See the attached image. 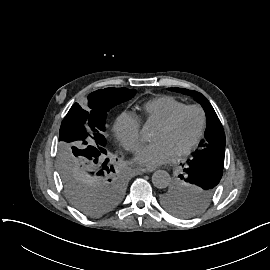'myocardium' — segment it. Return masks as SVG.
I'll list each match as a JSON object with an SVG mask.
<instances>
[{
	"instance_id": "f54148a6",
	"label": "myocardium",
	"mask_w": 270,
	"mask_h": 270,
	"mask_svg": "<svg viewBox=\"0 0 270 270\" xmlns=\"http://www.w3.org/2000/svg\"><path fill=\"white\" fill-rule=\"evenodd\" d=\"M191 110H194L199 114V118H200L199 128H198L196 136L191 141V143H189L187 146H185L184 148L180 149L177 152L178 157H182L184 155H187L193 149H195V147L198 145V143L203 135V131H204L205 123H206L205 112L203 111V109L201 107H199L197 105L185 106L184 108H182L181 110H179L175 114H173L169 119L160 123V125L163 126L164 128L171 129L178 123V121L181 119V117L186 112L191 111Z\"/></svg>"
}]
</instances>
